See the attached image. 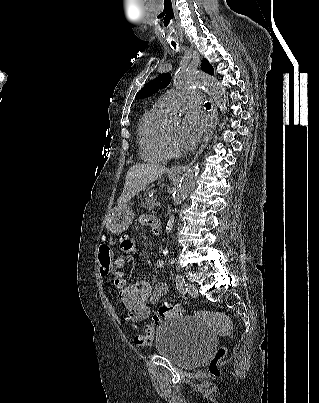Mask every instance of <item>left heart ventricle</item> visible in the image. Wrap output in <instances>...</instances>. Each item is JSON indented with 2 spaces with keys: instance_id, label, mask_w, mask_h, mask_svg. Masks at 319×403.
Returning a JSON list of instances; mask_svg holds the SVG:
<instances>
[{
  "instance_id": "obj_1",
  "label": "left heart ventricle",
  "mask_w": 319,
  "mask_h": 403,
  "mask_svg": "<svg viewBox=\"0 0 319 403\" xmlns=\"http://www.w3.org/2000/svg\"><path fill=\"white\" fill-rule=\"evenodd\" d=\"M165 129L172 145L176 148H180L178 143L179 124L178 123L167 124L165 126Z\"/></svg>"
}]
</instances>
